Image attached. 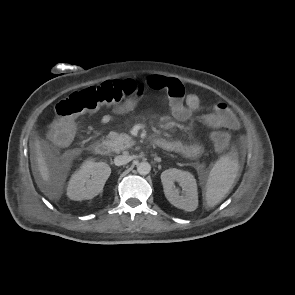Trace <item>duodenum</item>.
<instances>
[{"label": "duodenum", "instance_id": "1", "mask_svg": "<svg viewBox=\"0 0 295 295\" xmlns=\"http://www.w3.org/2000/svg\"><path fill=\"white\" fill-rule=\"evenodd\" d=\"M151 142L156 145V146H160L161 145V139L158 138H154L151 140ZM90 149L97 155L100 156H106L109 151H110V147L108 145V143L104 142V141H95L90 145Z\"/></svg>", "mask_w": 295, "mask_h": 295}]
</instances>
